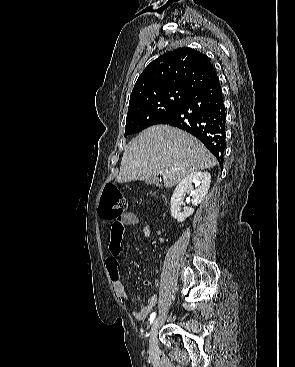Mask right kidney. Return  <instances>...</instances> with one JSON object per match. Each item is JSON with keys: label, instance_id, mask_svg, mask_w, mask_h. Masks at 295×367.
Here are the masks:
<instances>
[{"label": "right kidney", "instance_id": "right-kidney-1", "mask_svg": "<svg viewBox=\"0 0 295 367\" xmlns=\"http://www.w3.org/2000/svg\"><path fill=\"white\" fill-rule=\"evenodd\" d=\"M211 182V175L208 172H193L186 176L175 188L171 197V215L178 222H183L194 212L192 207L183 206V198L186 191H190L192 195V205H199L205 198ZM195 184L196 188L193 189L192 184Z\"/></svg>", "mask_w": 295, "mask_h": 367}]
</instances>
